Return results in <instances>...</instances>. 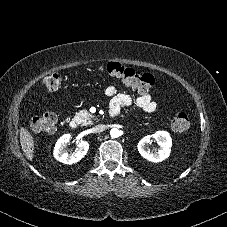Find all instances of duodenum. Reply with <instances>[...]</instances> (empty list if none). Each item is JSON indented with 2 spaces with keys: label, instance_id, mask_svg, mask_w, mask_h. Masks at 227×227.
I'll list each match as a JSON object with an SVG mask.
<instances>
[{
  "label": "duodenum",
  "instance_id": "410a0bca",
  "mask_svg": "<svg viewBox=\"0 0 227 227\" xmlns=\"http://www.w3.org/2000/svg\"><path fill=\"white\" fill-rule=\"evenodd\" d=\"M117 116V111L111 109L109 112V117L110 118H115ZM69 127L71 129H78L79 128V121L76 118H73L70 122H69Z\"/></svg>",
  "mask_w": 227,
  "mask_h": 227
}]
</instances>
